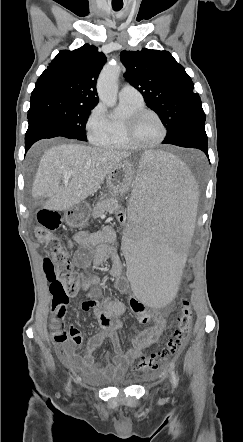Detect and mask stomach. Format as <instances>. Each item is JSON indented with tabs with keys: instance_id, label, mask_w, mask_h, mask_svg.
<instances>
[{
	"instance_id": "0dacf381",
	"label": "stomach",
	"mask_w": 243,
	"mask_h": 442,
	"mask_svg": "<svg viewBox=\"0 0 243 442\" xmlns=\"http://www.w3.org/2000/svg\"><path fill=\"white\" fill-rule=\"evenodd\" d=\"M134 175H136L133 163L124 160L118 163L108 174L106 179L107 187L112 192L126 194L130 191V185L133 183ZM65 222L68 226L76 228L85 225L89 215L87 206L78 204L68 209L64 214Z\"/></svg>"
}]
</instances>
